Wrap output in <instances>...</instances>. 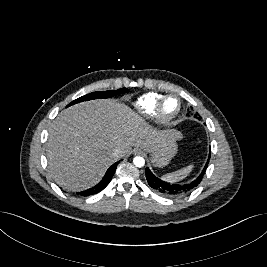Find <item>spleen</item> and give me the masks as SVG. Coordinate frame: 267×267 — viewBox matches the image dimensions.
<instances>
[{
  "label": "spleen",
  "mask_w": 267,
  "mask_h": 267,
  "mask_svg": "<svg viewBox=\"0 0 267 267\" xmlns=\"http://www.w3.org/2000/svg\"><path fill=\"white\" fill-rule=\"evenodd\" d=\"M192 169L193 165L191 164L185 168L164 175L163 179L169 182H177L185 178L192 171Z\"/></svg>",
  "instance_id": "obj_1"
}]
</instances>
